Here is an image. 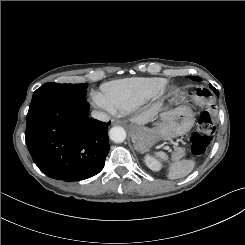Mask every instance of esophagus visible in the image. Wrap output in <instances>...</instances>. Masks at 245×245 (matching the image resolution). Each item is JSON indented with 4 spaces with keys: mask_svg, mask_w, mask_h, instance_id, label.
I'll return each instance as SVG.
<instances>
[{
    "mask_svg": "<svg viewBox=\"0 0 245 245\" xmlns=\"http://www.w3.org/2000/svg\"><path fill=\"white\" fill-rule=\"evenodd\" d=\"M111 123L112 125H122L123 124L121 120H117V119H113Z\"/></svg>",
    "mask_w": 245,
    "mask_h": 245,
    "instance_id": "34e87169",
    "label": "esophagus"
}]
</instances>
